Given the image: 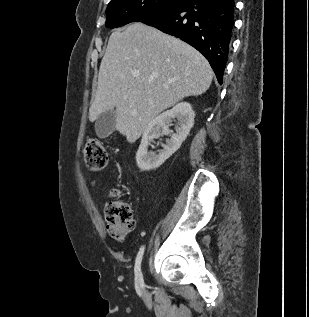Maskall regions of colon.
I'll return each instance as SVG.
<instances>
[{
    "label": "colon",
    "instance_id": "5ec220e1",
    "mask_svg": "<svg viewBox=\"0 0 309 317\" xmlns=\"http://www.w3.org/2000/svg\"><path fill=\"white\" fill-rule=\"evenodd\" d=\"M84 156L87 167L93 171L102 170L108 162L105 146L94 137L86 140ZM104 219L107 232L118 241L124 240L134 228L131 207L120 199L119 192L116 190L110 193V200L105 205Z\"/></svg>",
    "mask_w": 309,
    "mask_h": 317
}]
</instances>
